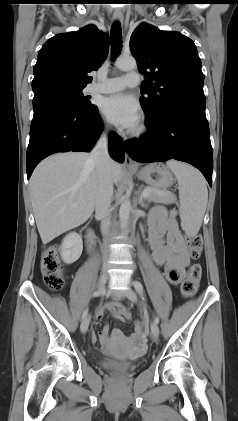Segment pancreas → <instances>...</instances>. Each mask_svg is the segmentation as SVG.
<instances>
[{
	"mask_svg": "<svg viewBox=\"0 0 238 421\" xmlns=\"http://www.w3.org/2000/svg\"><path fill=\"white\" fill-rule=\"evenodd\" d=\"M146 189L151 190V193L147 198L148 202L164 204H171L173 202V196L167 191L155 187H147ZM158 192H161V194Z\"/></svg>",
	"mask_w": 238,
	"mask_h": 421,
	"instance_id": "cf45deb5",
	"label": "pancreas"
}]
</instances>
